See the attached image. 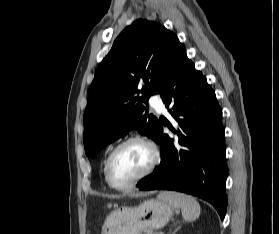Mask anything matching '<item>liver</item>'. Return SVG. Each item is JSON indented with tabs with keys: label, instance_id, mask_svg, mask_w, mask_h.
<instances>
[{
	"label": "liver",
	"instance_id": "obj_1",
	"mask_svg": "<svg viewBox=\"0 0 279 234\" xmlns=\"http://www.w3.org/2000/svg\"><path fill=\"white\" fill-rule=\"evenodd\" d=\"M132 196L137 197V196H142V194L137 193V194H133Z\"/></svg>",
	"mask_w": 279,
	"mask_h": 234
}]
</instances>
